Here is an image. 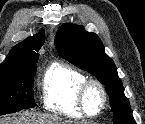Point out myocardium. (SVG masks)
Here are the masks:
<instances>
[{
	"label": "myocardium",
	"instance_id": "obj_1",
	"mask_svg": "<svg viewBox=\"0 0 145 124\" xmlns=\"http://www.w3.org/2000/svg\"><path fill=\"white\" fill-rule=\"evenodd\" d=\"M97 89L101 94V104L98 111L90 113L87 108V95L91 89ZM108 102V95L104 85L96 79H87L82 83L78 91V106L83 116L95 118L102 114Z\"/></svg>",
	"mask_w": 145,
	"mask_h": 124
}]
</instances>
